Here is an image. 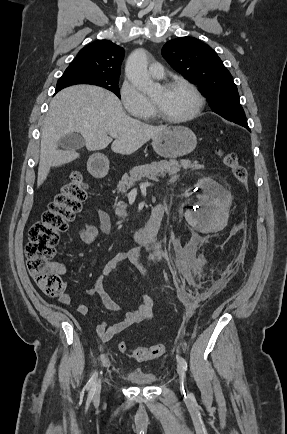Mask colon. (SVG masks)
<instances>
[{
	"mask_svg": "<svg viewBox=\"0 0 287 434\" xmlns=\"http://www.w3.org/2000/svg\"><path fill=\"white\" fill-rule=\"evenodd\" d=\"M219 154L237 182L245 185L248 181V171L239 162L237 154L222 151H219ZM87 191V184L81 173L72 172L69 180L44 211L41 220L35 222L29 229L26 244L28 271L34 282L48 297L58 298L64 292L65 285L61 277L50 266V262L55 255L60 234L66 231L69 222L81 210L82 203L87 197ZM118 349L121 353L128 352L125 342H120ZM130 353L137 361L146 362L161 357L165 353V346L157 344L137 347Z\"/></svg>",
	"mask_w": 287,
	"mask_h": 434,
	"instance_id": "1",
	"label": "colon"
}]
</instances>
